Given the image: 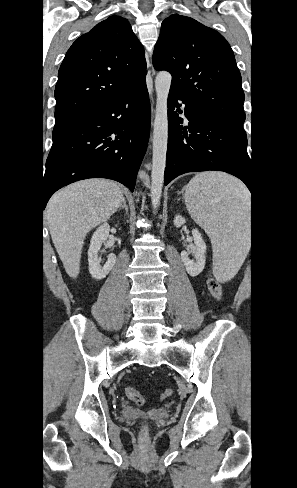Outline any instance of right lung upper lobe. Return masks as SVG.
I'll return each mask as SVG.
<instances>
[{"label":"right lung upper lobe","instance_id":"right-lung-upper-lobe-1","mask_svg":"<svg viewBox=\"0 0 297 488\" xmlns=\"http://www.w3.org/2000/svg\"><path fill=\"white\" fill-rule=\"evenodd\" d=\"M144 49L127 19L113 15L69 48L55 87L54 129L109 103L146 76Z\"/></svg>","mask_w":297,"mask_h":488}]
</instances>
